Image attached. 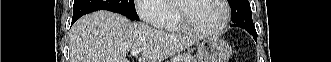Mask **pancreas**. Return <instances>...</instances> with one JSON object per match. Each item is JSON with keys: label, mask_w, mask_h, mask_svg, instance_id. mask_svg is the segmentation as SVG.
<instances>
[{"label": "pancreas", "mask_w": 331, "mask_h": 62, "mask_svg": "<svg viewBox=\"0 0 331 62\" xmlns=\"http://www.w3.org/2000/svg\"><path fill=\"white\" fill-rule=\"evenodd\" d=\"M179 59L180 61H177ZM171 62H196V59L191 54H183L180 57H175Z\"/></svg>", "instance_id": "1"}]
</instances>
